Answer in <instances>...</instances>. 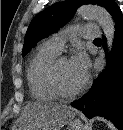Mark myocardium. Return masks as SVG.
Returning a JSON list of instances; mask_svg holds the SVG:
<instances>
[{
  "label": "myocardium",
  "instance_id": "f54148a6",
  "mask_svg": "<svg viewBox=\"0 0 123 130\" xmlns=\"http://www.w3.org/2000/svg\"><path fill=\"white\" fill-rule=\"evenodd\" d=\"M64 58L56 59L51 66V83L58 97L63 99H71L78 96L86 87V82L75 90H67L63 87L58 76V64Z\"/></svg>",
  "mask_w": 123,
  "mask_h": 130
}]
</instances>
